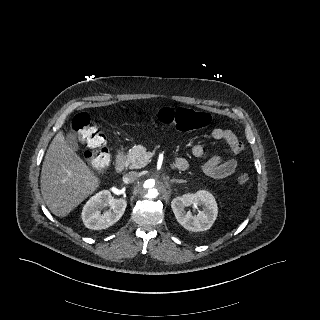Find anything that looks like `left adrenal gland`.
Returning <instances> with one entry per match:
<instances>
[{"label": "left adrenal gland", "mask_w": 320, "mask_h": 320, "mask_svg": "<svg viewBox=\"0 0 320 320\" xmlns=\"http://www.w3.org/2000/svg\"><path fill=\"white\" fill-rule=\"evenodd\" d=\"M171 183H185L186 181L185 180H178V179H172L170 180Z\"/></svg>", "instance_id": "a2214340"}]
</instances>
